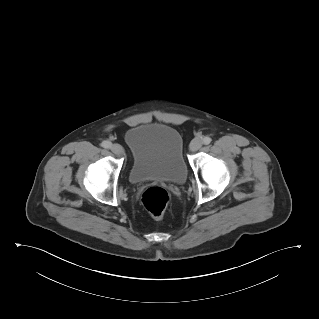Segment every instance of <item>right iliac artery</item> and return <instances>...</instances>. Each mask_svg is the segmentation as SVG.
<instances>
[{
  "instance_id": "1",
  "label": "right iliac artery",
  "mask_w": 319,
  "mask_h": 319,
  "mask_svg": "<svg viewBox=\"0 0 319 319\" xmlns=\"http://www.w3.org/2000/svg\"><path fill=\"white\" fill-rule=\"evenodd\" d=\"M101 145H102V147L108 149V148L111 147L112 144H111V142H109V141H103Z\"/></svg>"
}]
</instances>
